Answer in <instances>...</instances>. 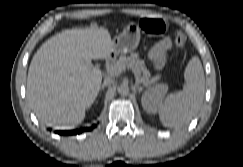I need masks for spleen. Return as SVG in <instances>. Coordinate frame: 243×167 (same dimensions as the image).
Segmentation results:
<instances>
[{
	"instance_id": "obj_1",
	"label": "spleen",
	"mask_w": 243,
	"mask_h": 167,
	"mask_svg": "<svg viewBox=\"0 0 243 167\" xmlns=\"http://www.w3.org/2000/svg\"><path fill=\"white\" fill-rule=\"evenodd\" d=\"M183 90L169 94L159 104V118L165 127H181L188 124L200 110L205 91V77L201 61L193 56L185 72Z\"/></svg>"
}]
</instances>
